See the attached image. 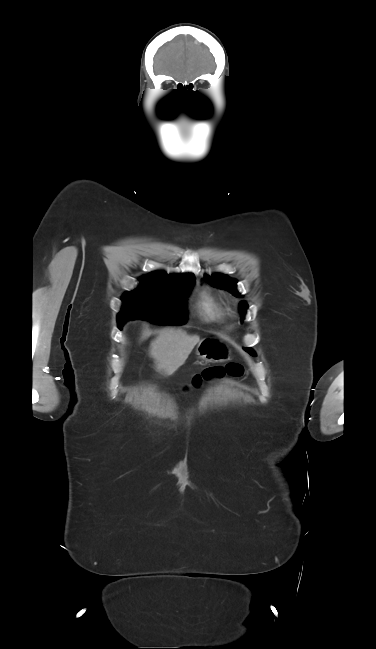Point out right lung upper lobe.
Masks as SVG:
<instances>
[{
    "mask_svg": "<svg viewBox=\"0 0 376 649\" xmlns=\"http://www.w3.org/2000/svg\"><path fill=\"white\" fill-rule=\"evenodd\" d=\"M182 274H170L167 275V273L163 271H156L152 272L150 275H146L145 277H152V278H159V277H169V276H181ZM187 275V274H184Z\"/></svg>",
    "mask_w": 376,
    "mask_h": 649,
    "instance_id": "cb5924a9",
    "label": "right lung upper lobe"
}]
</instances>
